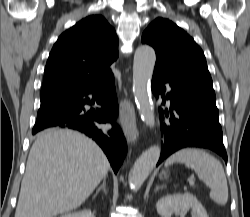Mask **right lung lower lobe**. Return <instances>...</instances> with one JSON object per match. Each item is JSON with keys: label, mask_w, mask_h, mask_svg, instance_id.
Here are the masks:
<instances>
[{"label": "right lung lower lobe", "mask_w": 250, "mask_h": 217, "mask_svg": "<svg viewBox=\"0 0 250 217\" xmlns=\"http://www.w3.org/2000/svg\"><path fill=\"white\" fill-rule=\"evenodd\" d=\"M97 103L102 107L86 111L84 105ZM118 114V101L114 76L76 93L65 95L40 108L32 130L36 134L47 128H70L94 139L108 157L115 173L123 163L127 145L123 133L114 122ZM98 123H111L112 129L102 131Z\"/></svg>", "instance_id": "1"}]
</instances>
